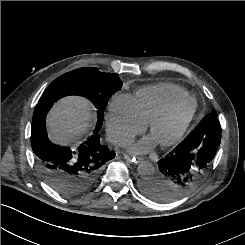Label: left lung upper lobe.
<instances>
[{"label":"left lung upper lobe","instance_id":"left-lung-upper-lobe-1","mask_svg":"<svg viewBox=\"0 0 245 245\" xmlns=\"http://www.w3.org/2000/svg\"><path fill=\"white\" fill-rule=\"evenodd\" d=\"M209 115L212 117L216 116L214 113H209Z\"/></svg>","mask_w":245,"mask_h":245}]
</instances>
